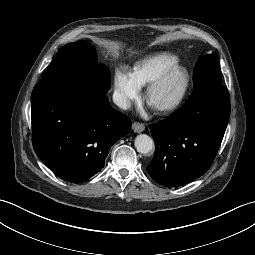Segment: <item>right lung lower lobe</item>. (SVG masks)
<instances>
[{"label":"right lung lower lobe","mask_w":255,"mask_h":255,"mask_svg":"<svg viewBox=\"0 0 255 255\" xmlns=\"http://www.w3.org/2000/svg\"><path fill=\"white\" fill-rule=\"evenodd\" d=\"M32 143L58 177L82 183L104 167L111 146L131 121L105 93L77 79L44 78L31 95Z\"/></svg>","instance_id":"right-lung-lower-lobe-1"}]
</instances>
